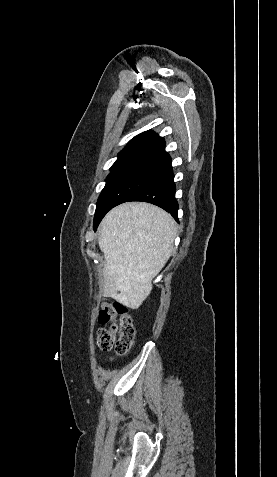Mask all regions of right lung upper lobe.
Returning a JSON list of instances; mask_svg holds the SVG:
<instances>
[{
    "mask_svg": "<svg viewBox=\"0 0 277 477\" xmlns=\"http://www.w3.org/2000/svg\"><path fill=\"white\" fill-rule=\"evenodd\" d=\"M171 162L165 152V141L155 132L149 130L134 137L119 153L111 170L128 166L163 168Z\"/></svg>",
    "mask_w": 277,
    "mask_h": 477,
    "instance_id": "cb5924a9",
    "label": "right lung upper lobe"
}]
</instances>
